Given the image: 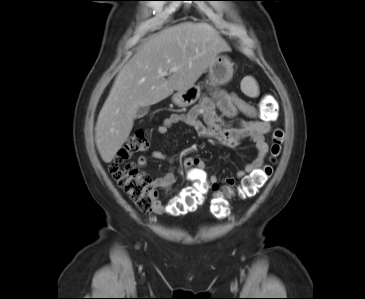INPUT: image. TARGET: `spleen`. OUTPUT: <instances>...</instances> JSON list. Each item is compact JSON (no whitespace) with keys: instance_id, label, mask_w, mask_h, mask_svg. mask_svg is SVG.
I'll use <instances>...</instances> for the list:
<instances>
[{"instance_id":"1","label":"spleen","mask_w":365,"mask_h":299,"mask_svg":"<svg viewBox=\"0 0 365 299\" xmlns=\"http://www.w3.org/2000/svg\"><path fill=\"white\" fill-rule=\"evenodd\" d=\"M242 91L249 97L255 98L259 95V88L255 79L251 76H246L241 82Z\"/></svg>"}]
</instances>
